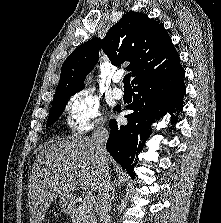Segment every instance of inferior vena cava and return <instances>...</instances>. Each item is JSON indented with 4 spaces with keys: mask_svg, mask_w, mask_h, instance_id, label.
<instances>
[{
    "mask_svg": "<svg viewBox=\"0 0 221 223\" xmlns=\"http://www.w3.org/2000/svg\"><path fill=\"white\" fill-rule=\"evenodd\" d=\"M109 137L108 130L101 124L98 126L92 136L96 153L99 158L100 180L99 194L97 202V212L99 223H107L110 218L111 210V184L109 175V165L107 160L106 142Z\"/></svg>",
    "mask_w": 221,
    "mask_h": 223,
    "instance_id": "602c4592",
    "label": "inferior vena cava"
}]
</instances>
